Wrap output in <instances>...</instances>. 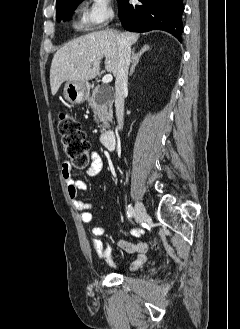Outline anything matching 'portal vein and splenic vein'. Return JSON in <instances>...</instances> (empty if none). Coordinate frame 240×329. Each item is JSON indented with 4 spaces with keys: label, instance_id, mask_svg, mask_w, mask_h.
Returning a JSON list of instances; mask_svg holds the SVG:
<instances>
[{
    "label": "portal vein and splenic vein",
    "instance_id": "portal-vein-and-splenic-vein-1",
    "mask_svg": "<svg viewBox=\"0 0 240 329\" xmlns=\"http://www.w3.org/2000/svg\"><path fill=\"white\" fill-rule=\"evenodd\" d=\"M113 79V76L111 74H106L103 79H102V82L104 84H107V83H110Z\"/></svg>",
    "mask_w": 240,
    "mask_h": 329
}]
</instances>
